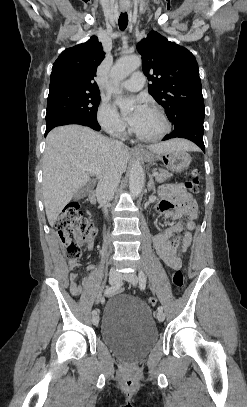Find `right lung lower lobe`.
Segmentation results:
<instances>
[{
	"label": "right lung lower lobe",
	"instance_id": "right-lung-lower-lobe-1",
	"mask_svg": "<svg viewBox=\"0 0 247 407\" xmlns=\"http://www.w3.org/2000/svg\"><path fill=\"white\" fill-rule=\"evenodd\" d=\"M67 124H80V125L89 126L92 129L97 130V131L100 130V126L98 125L97 121H91V120H87V119H84L81 117L64 116V117L56 118V119L51 120L46 123L45 136L54 127L61 126V125H67Z\"/></svg>",
	"mask_w": 247,
	"mask_h": 407
}]
</instances>
